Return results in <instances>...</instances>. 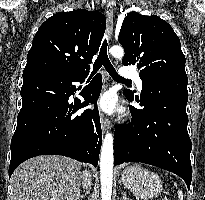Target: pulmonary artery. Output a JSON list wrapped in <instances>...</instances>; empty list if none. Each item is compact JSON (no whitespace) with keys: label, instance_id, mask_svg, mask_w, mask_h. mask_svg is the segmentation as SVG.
<instances>
[{"label":"pulmonary artery","instance_id":"e3ab8cb5","mask_svg":"<svg viewBox=\"0 0 205 200\" xmlns=\"http://www.w3.org/2000/svg\"><path fill=\"white\" fill-rule=\"evenodd\" d=\"M119 75L124 79H133L136 83L138 90H142V80L140 79L138 73L135 70L123 67L119 70Z\"/></svg>","mask_w":205,"mask_h":200}]
</instances>
